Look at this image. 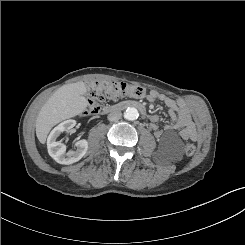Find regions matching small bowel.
<instances>
[{
    "instance_id": "1",
    "label": "small bowel",
    "mask_w": 245,
    "mask_h": 245,
    "mask_svg": "<svg viewBox=\"0 0 245 245\" xmlns=\"http://www.w3.org/2000/svg\"><path fill=\"white\" fill-rule=\"evenodd\" d=\"M147 100L150 102L160 101L167 108L170 124L165 127L166 131L180 130V137L184 140L196 141L199 133L192 119L191 113L187 105L182 102L171 98L168 95L151 91L147 95ZM151 129L157 138L163 136V130L158 126L159 117L151 115Z\"/></svg>"
}]
</instances>
